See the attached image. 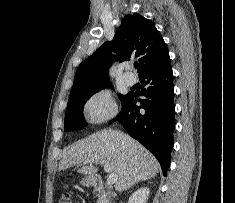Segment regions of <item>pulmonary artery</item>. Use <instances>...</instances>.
<instances>
[{
  "label": "pulmonary artery",
  "instance_id": "e3ab8cb5",
  "mask_svg": "<svg viewBox=\"0 0 235 203\" xmlns=\"http://www.w3.org/2000/svg\"><path fill=\"white\" fill-rule=\"evenodd\" d=\"M123 79L128 86H133L137 82L135 75L131 72H126Z\"/></svg>",
  "mask_w": 235,
  "mask_h": 203
}]
</instances>
